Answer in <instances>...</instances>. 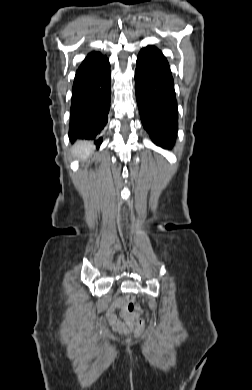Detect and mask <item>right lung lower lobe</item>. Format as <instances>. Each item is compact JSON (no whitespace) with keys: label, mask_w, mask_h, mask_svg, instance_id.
Listing matches in <instances>:
<instances>
[{"label":"right lung lower lobe","mask_w":252,"mask_h":390,"mask_svg":"<svg viewBox=\"0 0 252 390\" xmlns=\"http://www.w3.org/2000/svg\"><path fill=\"white\" fill-rule=\"evenodd\" d=\"M110 64L95 75L74 79L70 109L69 138L95 139L108 121L111 101ZM102 137L96 141L97 147Z\"/></svg>","instance_id":"98d812e1"}]
</instances>
